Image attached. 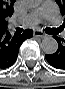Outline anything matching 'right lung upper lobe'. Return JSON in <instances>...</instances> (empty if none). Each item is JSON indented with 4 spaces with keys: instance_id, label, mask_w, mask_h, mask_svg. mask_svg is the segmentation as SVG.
<instances>
[{
    "instance_id": "1",
    "label": "right lung upper lobe",
    "mask_w": 65,
    "mask_h": 89,
    "mask_svg": "<svg viewBox=\"0 0 65 89\" xmlns=\"http://www.w3.org/2000/svg\"><path fill=\"white\" fill-rule=\"evenodd\" d=\"M15 0H0V30L7 29V18L13 14Z\"/></svg>"
}]
</instances>
